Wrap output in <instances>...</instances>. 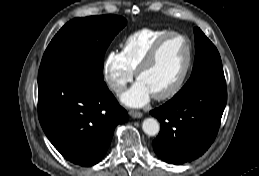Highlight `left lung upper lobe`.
<instances>
[{
	"label": "left lung upper lobe",
	"instance_id": "1",
	"mask_svg": "<svg viewBox=\"0 0 259 176\" xmlns=\"http://www.w3.org/2000/svg\"><path fill=\"white\" fill-rule=\"evenodd\" d=\"M196 55L192 74L180 95L203 85L226 87L223 67L218 50L198 28H194Z\"/></svg>",
	"mask_w": 259,
	"mask_h": 176
}]
</instances>
